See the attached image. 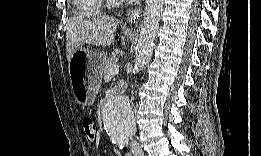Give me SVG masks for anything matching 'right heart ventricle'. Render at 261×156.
Instances as JSON below:
<instances>
[{
  "mask_svg": "<svg viewBox=\"0 0 261 156\" xmlns=\"http://www.w3.org/2000/svg\"><path fill=\"white\" fill-rule=\"evenodd\" d=\"M75 5L84 11H94L100 7L101 2L98 0H76Z\"/></svg>",
  "mask_w": 261,
  "mask_h": 156,
  "instance_id": "obj_1",
  "label": "right heart ventricle"
}]
</instances>
